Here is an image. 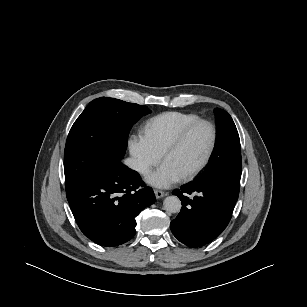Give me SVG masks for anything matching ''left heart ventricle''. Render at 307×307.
I'll return each instance as SVG.
<instances>
[{
    "instance_id": "obj_1",
    "label": "left heart ventricle",
    "mask_w": 307,
    "mask_h": 307,
    "mask_svg": "<svg viewBox=\"0 0 307 307\" xmlns=\"http://www.w3.org/2000/svg\"><path fill=\"white\" fill-rule=\"evenodd\" d=\"M211 141V130L207 125L196 127L182 145L165 159L182 176L194 170L203 160Z\"/></svg>"
}]
</instances>
